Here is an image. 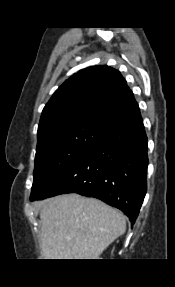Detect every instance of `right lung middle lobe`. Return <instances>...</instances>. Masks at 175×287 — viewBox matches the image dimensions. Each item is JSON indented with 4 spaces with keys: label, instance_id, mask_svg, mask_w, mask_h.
<instances>
[{
    "label": "right lung middle lobe",
    "instance_id": "dd1d6c3e",
    "mask_svg": "<svg viewBox=\"0 0 175 287\" xmlns=\"http://www.w3.org/2000/svg\"><path fill=\"white\" fill-rule=\"evenodd\" d=\"M112 127L101 122L73 123L51 128L38 136L31 196L42 193Z\"/></svg>",
    "mask_w": 175,
    "mask_h": 287
}]
</instances>
